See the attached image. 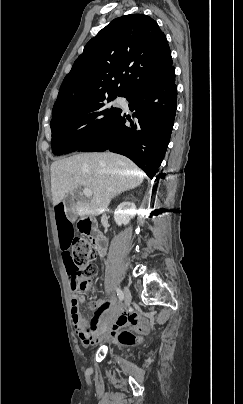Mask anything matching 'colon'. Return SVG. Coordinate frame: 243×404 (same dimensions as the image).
Instances as JSON below:
<instances>
[{"label": "colon", "mask_w": 243, "mask_h": 404, "mask_svg": "<svg viewBox=\"0 0 243 404\" xmlns=\"http://www.w3.org/2000/svg\"><path fill=\"white\" fill-rule=\"evenodd\" d=\"M72 263L74 266L73 279L81 291H87L91 287V280L97 272L95 256L91 243L86 239H76L72 247ZM133 335L128 330H122L118 334V340L122 344L129 343Z\"/></svg>", "instance_id": "1"}]
</instances>
